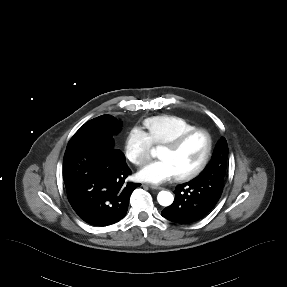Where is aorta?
<instances>
[{
  "label": "aorta",
  "mask_w": 287,
  "mask_h": 287,
  "mask_svg": "<svg viewBox=\"0 0 287 287\" xmlns=\"http://www.w3.org/2000/svg\"><path fill=\"white\" fill-rule=\"evenodd\" d=\"M152 155H155V151H152ZM174 197L172 193L168 191H160L157 195V201L161 206H170L173 203Z\"/></svg>",
  "instance_id": "1"
}]
</instances>
